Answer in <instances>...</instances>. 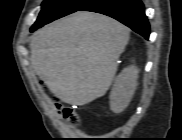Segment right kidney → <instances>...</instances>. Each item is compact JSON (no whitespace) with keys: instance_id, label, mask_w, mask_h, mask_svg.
I'll return each instance as SVG.
<instances>
[{"instance_id":"ca27d5eb","label":"right kidney","mask_w":182,"mask_h":140,"mask_svg":"<svg viewBox=\"0 0 182 140\" xmlns=\"http://www.w3.org/2000/svg\"><path fill=\"white\" fill-rule=\"evenodd\" d=\"M138 73L136 66H129L116 77L110 93L112 112L121 113L129 105L137 87Z\"/></svg>"}]
</instances>
